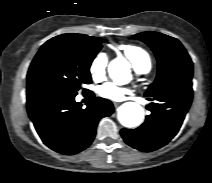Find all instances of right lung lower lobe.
<instances>
[{
  "label": "right lung lower lobe",
  "mask_w": 212,
  "mask_h": 183,
  "mask_svg": "<svg viewBox=\"0 0 212 183\" xmlns=\"http://www.w3.org/2000/svg\"><path fill=\"white\" fill-rule=\"evenodd\" d=\"M85 109L75 102L76 94L36 89L27 91V110L42 141L52 150L73 155L86 149L94 140L100 119L110 116L113 104L94 97Z\"/></svg>",
  "instance_id": "right-lung-lower-lobe-1"
}]
</instances>
